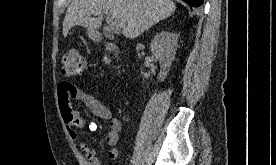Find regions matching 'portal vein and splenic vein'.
Masks as SVG:
<instances>
[{"label": "portal vein and splenic vein", "mask_w": 276, "mask_h": 165, "mask_svg": "<svg viewBox=\"0 0 276 165\" xmlns=\"http://www.w3.org/2000/svg\"><path fill=\"white\" fill-rule=\"evenodd\" d=\"M106 14H107L106 22L108 23V25L110 27H113V28H116V29L122 28L123 24L120 20L114 19L108 13H106ZM94 15H96V14H94Z\"/></svg>", "instance_id": "obj_1"}]
</instances>
